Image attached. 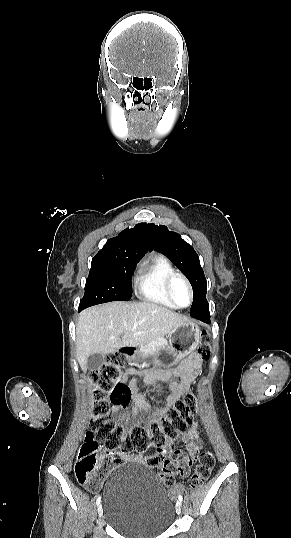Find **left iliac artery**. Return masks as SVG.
Listing matches in <instances>:
<instances>
[{
  "instance_id": "obj_1",
  "label": "left iliac artery",
  "mask_w": 291,
  "mask_h": 538,
  "mask_svg": "<svg viewBox=\"0 0 291 538\" xmlns=\"http://www.w3.org/2000/svg\"><path fill=\"white\" fill-rule=\"evenodd\" d=\"M178 500L182 503L183 497H182L181 494H179V496H178Z\"/></svg>"
}]
</instances>
